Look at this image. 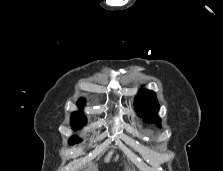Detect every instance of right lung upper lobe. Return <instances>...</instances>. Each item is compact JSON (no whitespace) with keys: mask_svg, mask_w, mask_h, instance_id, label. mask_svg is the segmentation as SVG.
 <instances>
[{"mask_svg":"<svg viewBox=\"0 0 223 171\" xmlns=\"http://www.w3.org/2000/svg\"><path fill=\"white\" fill-rule=\"evenodd\" d=\"M85 101L84 99H81L79 102H78V106L79 107H82L84 105Z\"/></svg>","mask_w":223,"mask_h":171,"instance_id":"right-lung-upper-lobe-1","label":"right lung upper lobe"}]
</instances>
